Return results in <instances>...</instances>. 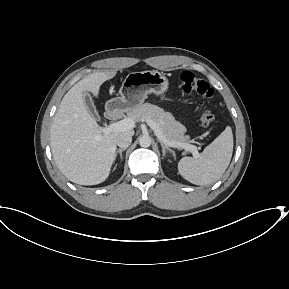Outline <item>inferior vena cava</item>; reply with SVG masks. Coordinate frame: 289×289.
<instances>
[{
  "instance_id": "obj_1",
  "label": "inferior vena cava",
  "mask_w": 289,
  "mask_h": 289,
  "mask_svg": "<svg viewBox=\"0 0 289 289\" xmlns=\"http://www.w3.org/2000/svg\"><path fill=\"white\" fill-rule=\"evenodd\" d=\"M132 142V135L123 133L117 138L116 144L120 148H127Z\"/></svg>"
}]
</instances>
